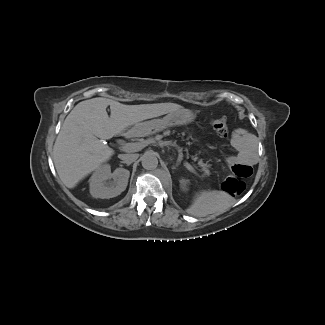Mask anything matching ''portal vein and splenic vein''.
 Returning <instances> with one entry per match:
<instances>
[{"instance_id": "portal-vein-and-splenic-vein-1", "label": "portal vein and splenic vein", "mask_w": 325, "mask_h": 325, "mask_svg": "<svg viewBox=\"0 0 325 325\" xmlns=\"http://www.w3.org/2000/svg\"><path fill=\"white\" fill-rule=\"evenodd\" d=\"M153 142H154L153 140H148V141H144V142L125 143L122 146H120V149L124 152H135V151L141 150L147 144H150ZM184 165L186 166V168L188 170L193 171V167L188 162H185Z\"/></svg>"}]
</instances>
